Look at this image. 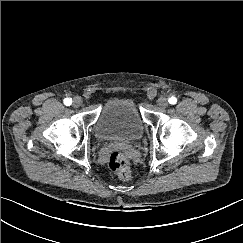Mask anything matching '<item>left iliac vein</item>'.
<instances>
[{
	"instance_id": "4c4485c4",
	"label": "left iliac vein",
	"mask_w": 243,
	"mask_h": 243,
	"mask_svg": "<svg viewBox=\"0 0 243 243\" xmlns=\"http://www.w3.org/2000/svg\"><path fill=\"white\" fill-rule=\"evenodd\" d=\"M157 105L160 107V108H166L168 106V100L167 98L165 97H160L158 100H157Z\"/></svg>"
}]
</instances>
